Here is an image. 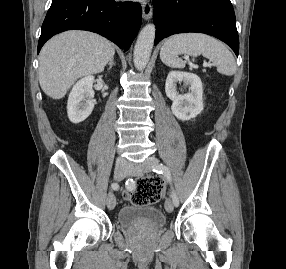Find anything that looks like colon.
I'll return each instance as SVG.
<instances>
[{"mask_svg": "<svg viewBox=\"0 0 286 269\" xmlns=\"http://www.w3.org/2000/svg\"><path fill=\"white\" fill-rule=\"evenodd\" d=\"M161 186L162 183L158 178H141L137 181L136 190L130 194L125 193L124 196L132 203L138 205H151L158 200Z\"/></svg>", "mask_w": 286, "mask_h": 269, "instance_id": "5ec220e1", "label": "colon"}]
</instances>
